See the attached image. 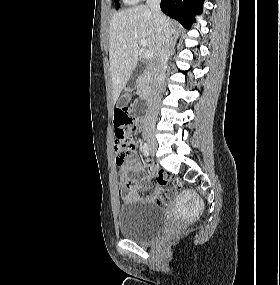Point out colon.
I'll return each instance as SVG.
<instances>
[{
    "label": "colon",
    "mask_w": 280,
    "mask_h": 285,
    "mask_svg": "<svg viewBox=\"0 0 280 285\" xmlns=\"http://www.w3.org/2000/svg\"><path fill=\"white\" fill-rule=\"evenodd\" d=\"M114 127L117 162L121 164L126 160L127 156L136 149V141L132 134L134 127L126 108H120L115 111ZM155 179L160 185H171L175 188L180 187V182L178 180L172 179L161 170L156 172Z\"/></svg>",
    "instance_id": "1"
}]
</instances>
